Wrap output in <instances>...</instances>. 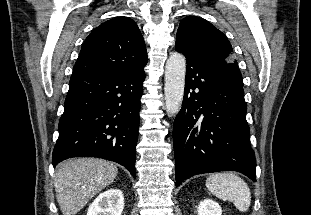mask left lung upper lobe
Listing matches in <instances>:
<instances>
[{
	"instance_id": "left-lung-upper-lobe-1",
	"label": "left lung upper lobe",
	"mask_w": 311,
	"mask_h": 215,
	"mask_svg": "<svg viewBox=\"0 0 311 215\" xmlns=\"http://www.w3.org/2000/svg\"><path fill=\"white\" fill-rule=\"evenodd\" d=\"M175 47L243 87L242 75L228 38L207 20L197 16L184 18L177 31Z\"/></svg>"
}]
</instances>
